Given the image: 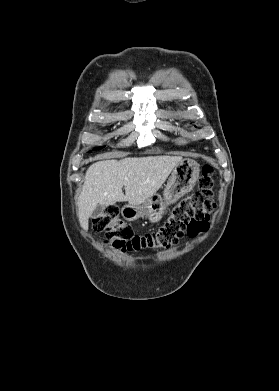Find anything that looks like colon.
I'll use <instances>...</instances> for the list:
<instances>
[{
    "label": "colon",
    "mask_w": 279,
    "mask_h": 391,
    "mask_svg": "<svg viewBox=\"0 0 279 391\" xmlns=\"http://www.w3.org/2000/svg\"><path fill=\"white\" fill-rule=\"evenodd\" d=\"M212 175L213 168L204 166L199 179V191L180 200L156 231L135 234L132 226L120 216L117 207H111L96 217L93 221L94 229L103 232L107 242L123 252L170 248L178 243L184 233L196 237L207 230L216 207Z\"/></svg>",
    "instance_id": "5ec220e1"
}]
</instances>
